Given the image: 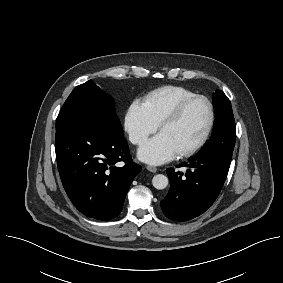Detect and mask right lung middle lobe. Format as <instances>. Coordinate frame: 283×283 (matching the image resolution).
<instances>
[{"label":"right lung middle lobe","instance_id":"obj_1","mask_svg":"<svg viewBox=\"0 0 283 283\" xmlns=\"http://www.w3.org/2000/svg\"><path fill=\"white\" fill-rule=\"evenodd\" d=\"M87 117H110L122 129L113 99L91 80L71 92L57 117L56 130Z\"/></svg>","mask_w":283,"mask_h":283}]
</instances>
